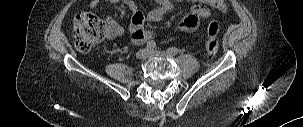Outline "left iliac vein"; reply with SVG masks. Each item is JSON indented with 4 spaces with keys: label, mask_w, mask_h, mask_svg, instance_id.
Here are the masks:
<instances>
[{
    "label": "left iliac vein",
    "mask_w": 303,
    "mask_h": 127,
    "mask_svg": "<svg viewBox=\"0 0 303 127\" xmlns=\"http://www.w3.org/2000/svg\"><path fill=\"white\" fill-rule=\"evenodd\" d=\"M167 52L159 51V50H150L148 51V57H170Z\"/></svg>",
    "instance_id": "4c4485c4"
}]
</instances>
